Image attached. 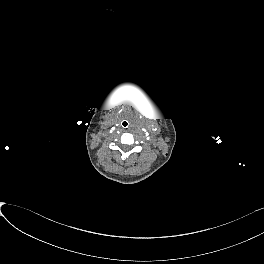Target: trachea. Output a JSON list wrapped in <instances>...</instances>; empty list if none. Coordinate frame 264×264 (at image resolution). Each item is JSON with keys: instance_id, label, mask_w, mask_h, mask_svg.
<instances>
[{"instance_id": "obj_1", "label": "trachea", "mask_w": 264, "mask_h": 264, "mask_svg": "<svg viewBox=\"0 0 264 264\" xmlns=\"http://www.w3.org/2000/svg\"><path fill=\"white\" fill-rule=\"evenodd\" d=\"M123 126H124V127H127V126H128V124L125 122V123H123Z\"/></svg>"}]
</instances>
